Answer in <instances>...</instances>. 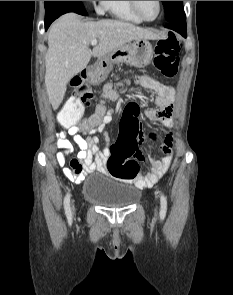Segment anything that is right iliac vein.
Segmentation results:
<instances>
[{"mask_svg":"<svg viewBox=\"0 0 233 295\" xmlns=\"http://www.w3.org/2000/svg\"><path fill=\"white\" fill-rule=\"evenodd\" d=\"M72 211L75 212V206L72 204Z\"/></svg>","mask_w":233,"mask_h":295,"instance_id":"right-iliac-vein-1","label":"right iliac vein"}]
</instances>
